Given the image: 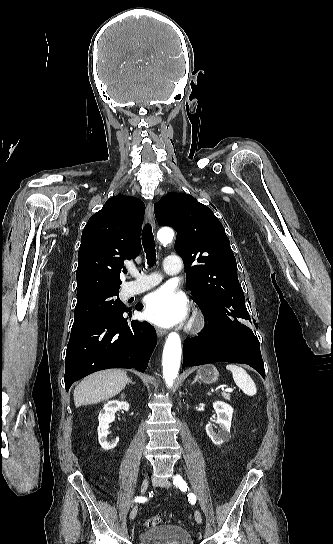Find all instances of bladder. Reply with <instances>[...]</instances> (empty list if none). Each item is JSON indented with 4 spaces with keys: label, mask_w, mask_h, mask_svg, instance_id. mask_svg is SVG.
Instances as JSON below:
<instances>
[{
    "label": "bladder",
    "mask_w": 333,
    "mask_h": 544,
    "mask_svg": "<svg viewBox=\"0 0 333 544\" xmlns=\"http://www.w3.org/2000/svg\"><path fill=\"white\" fill-rule=\"evenodd\" d=\"M139 544H193L190 533L176 525H164L141 533Z\"/></svg>",
    "instance_id": "31cf9c89"
}]
</instances>
